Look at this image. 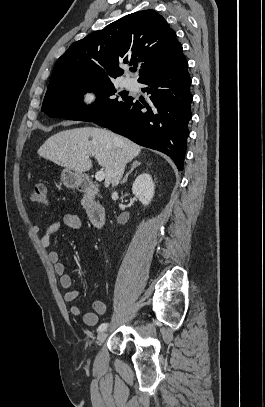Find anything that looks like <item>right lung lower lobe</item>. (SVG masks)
<instances>
[{
    "instance_id": "98d812e1",
    "label": "right lung lower lobe",
    "mask_w": 265,
    "mask_h": 407,
    "mask_svg": "<svg viewBox=\"0 0 265 407\" xmlns=\"http://www.w3.org/2000/svg\"><path fill=\"white\" fill-rule=\"evenodd\" d=\"M150 94L149 103L129 97L93 122L139 145L170 156L183 170L190 106L191 78L183 52L173 61L139 81Z\"/></svg>"
}]
</instances>
